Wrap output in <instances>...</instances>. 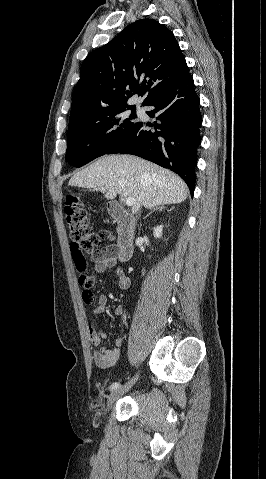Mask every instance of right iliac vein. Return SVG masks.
Returning a JSON list of instances; mask_svg holds the SVG:
<instances>
[{"mask_svg":"<svg viewBox=\"0 0 266 479\" xmlns=\"http://www.w3.org/2000/svg\"><path fill=\"white\" fill-rule=\"evenodd\" d=\"M136 379L137 376L130 380L128 383H126L124 386L112 390L107 399V409H109L117 399H119L126 391H128L134 385Z\"/></svg>","mask_w":266,"mask_h":479,"instance_id":"63e3f726","label":"right iliac vein"}]
</instances>
